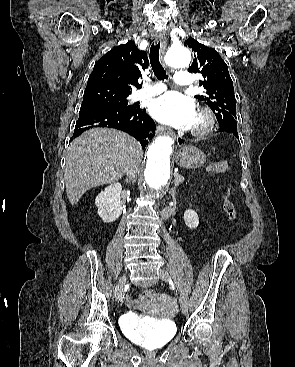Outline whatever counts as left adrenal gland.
<instances>
[{"mask_svg":"<svg viewBox=\"0 0 295 367\" xmlns=\"http://www.w3.org/2000/svg\"><path fill=\"white\" fill-rule=\"evenodd\" d=\"M175 189H176V187L174 186V187L172 188V192H175Z\"/></svg>","mask_w":295,"mask_h":367,"instance_id":"a2214340","label":"left adrenal gland"}]
</instances>
